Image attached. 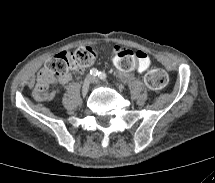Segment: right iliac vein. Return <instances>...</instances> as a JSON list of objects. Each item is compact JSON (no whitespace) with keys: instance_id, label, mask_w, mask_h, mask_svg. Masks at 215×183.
<instances>
[{"instance_id":"right-iliac-vein-1","label":"right iliac vein","mask_w":215,"mask_h":183,"mask_svg":"<svg viewBox=\"0 0 215 183\" xmlns=\"http://www.w3.org/2000/svg\"><path fill=\"white\" fill-rule=\"evenodd\" d=\"M92 82V78L90 76H87L83 83H82V95L83 96H86L88 91H89V88H90V84Z\"/></svg>"}]
</instances>
